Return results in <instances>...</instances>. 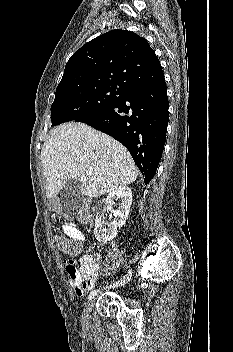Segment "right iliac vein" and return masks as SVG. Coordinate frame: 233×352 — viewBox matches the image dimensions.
<instances>
[{
    "label": "right iliac vein",
    "mask_w": 233,
    "mask_h": 352,
    "mask_svg": "<svg viewBox=\"0 0 233 352\" xmlns=\"http://www.w3.org/2000/svg\"><path fill=\"white\" fill-rule=\"evenodd\" d=\"M94 302H95V298L93 297L91 300H89V302L87 303L84 309L83 316H82V324L84 326L87 325L89 322V315L94 306Z\"/></svg>",
    "instance_id": "obj_1"
}]
</instances>
